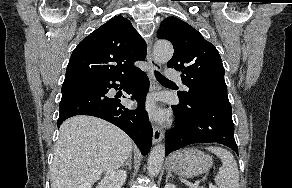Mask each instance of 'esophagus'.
Segmentation results:
<instances>
[{
  "instance_id": "34e87169",
  "label": "esophagus",
  "mask_w": 292,
  "mask_h": 188,
  "mask_svg": "<svg viewBox=\"0 0 292 188\" xmlns=\"http://www.w3.org/2000/svg\"><path fill=\"white\" fill-rule=\"evenodd\" d=\"M147 61H148V75L150 78V89L152 92L158 90L159 86L155 80L154 72L160 69V64L154 59L152 53V40L149 43L147 51ZM163 138V130L157 126H153V144L161 142Z\"/></svg>"
}]
</instances>
